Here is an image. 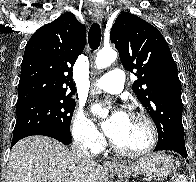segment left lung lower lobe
I'll return each mask as SVG.
<instances>
[{
	"instance_id": "obj_1",
	"label": "left lung lower lobe",
	"mask_w": 196,
	"mask_h": 182,
	"mask_svg": "<svg viewBox=\"0 0 196 182\" xmlns=\"http://www.w3.org/2000/svg\"><path fill=\"white\" fill-rule=\"evenodd\" d=\"M160 150H168V151H173L178 154H180L182 157L187 158V151L185 148V145H180V144H166L163 146H156L154 151H160ZM187 162H189L187 160Z\"/></svg>"
}]
</instances>
